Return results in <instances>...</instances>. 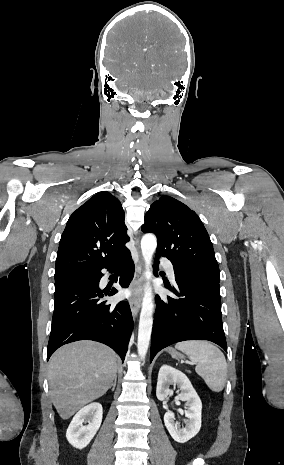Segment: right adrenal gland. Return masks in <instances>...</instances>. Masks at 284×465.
<instances>
[{
	"mask_svg": "<svg viewBox=\"0 0 284 465\" xmlns=\"http://www.w3.org/2000/svg\"><path fill=\"white\" fill-rule=\"evenodd\" d=\"M116 383H117V375H115V377H114V383H111L112 391H115Z\"/></svg>",
	"mask_w": 284,
	"mask_h": 465,
	"instance_id": "2a0ac1e0",
	"label": "right adrenal gland"
}]
</instances>
